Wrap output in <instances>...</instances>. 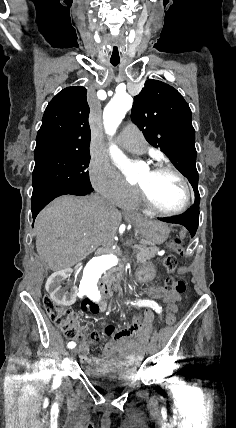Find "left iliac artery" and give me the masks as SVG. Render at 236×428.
I'll return each instance as SVG.
<instances>
[{
	"instance_id": "left-iliac-artery-1",
	"label": "left iliac artery",
	"mask_w": 236,
	"mask_h": 428,
	"mask_svg": "<svg viewBox=\"0 0 236 428\" xmlns=\"http://www.w3.org/2000/svg\"><path fill=\"white\" fill-rule=\"evenodd\" d=\"M87 297H89L91 300L98 302L101 298L100 291H87L85 293ZM133 305L137 304L138 306H149L153 308L157 313H160L162 311V307H159V305L154 301L149 300H140L137 303L131 302Z\"/></svg>"
}]
</instances>
